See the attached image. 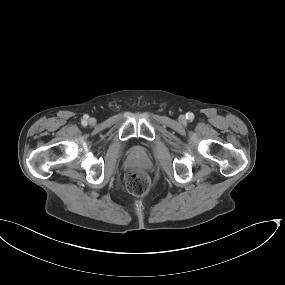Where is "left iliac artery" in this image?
Segmentation results:
<instances>
[{"instance_id":"44dca946","label":"left iliac artery","mask_w":285,"mask_h":285,"mask_svg":"<svg viewBox=\"0 0 285 285\" xmlns=\"http://www.w3.org/2000/svg\"><path fill=\"white\" fill-rule=\"evenodd\" d=\"M186 118H187L188 120L192 121V120L194 119V114L191 113V112H188V113L186 114Z\"/></svg>"}]
</instances>
